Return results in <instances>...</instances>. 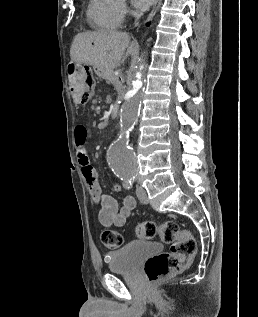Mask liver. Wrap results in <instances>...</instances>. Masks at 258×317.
I'll use <instances>...</instances> for the list:
<instances>
[{
    "mask_svg": "<svg viewBox=\"0 0 258 317\" xmlns=\"http://www.w3.org/2000/svg\"><path fill=\"white\" fill-rule=\"evenodd\" d=\"M138 46L137 40H131L128 32L119 30H91V32H78L70 50L71 60L76 64H93L103 72H110L120 62L122 54L127 48L125 56L134 54ZM122 58V60H121Z\"/></svg>",
    "mask_w": 258,
    "mask_h": 317,
    "instance_id": "liver-1",
    "label": "liver"
}]
</instances>
